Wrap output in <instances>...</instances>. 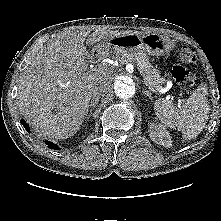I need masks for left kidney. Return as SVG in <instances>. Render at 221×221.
<instances>
[{"label":"left kidney","instance_id":"1","mask_svg":"<svg viewBox=\"0 0 221 221\" xmlns=\"http://www.w3.org/2000/svg\"><path fill=\"white\" fill-rule=\"evenodd\" d=\"M149 135L151 140L156 144H160L164 147H170L172 145L169 132L162 125L151 124Z\"/></svg>","mask_w":221,"mask_h":221}]
</instances>
